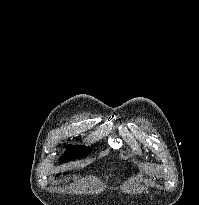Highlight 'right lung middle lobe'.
<instances>
[{
  "label": "right lung middle lobe",
  "instance_id": "1",
  "mask_svg": "<svg viewBox=\"0 0 199 205\" xmlns=\"http://www.w3.org/2000/svg\"><path fill=\"white\" fill-rule=\"evenodd\" d=\"M66 152L61 156L59 162H67L78 158L85 157L91 153V149L86 146H66Z\"/></svg>",
  "mask_w": 199,
  "mask_h": 205
}]
</instances>
